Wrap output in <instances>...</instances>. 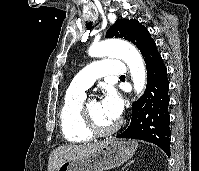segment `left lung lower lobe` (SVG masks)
Instances as JSON below:
<instances>
[{
    "instance_id": "left-lung-lower-lobe-1",
    "label": "left lung lower lobe",
    "mask_w": 199,
    "mask_h": 171,
    "mask_svg": "<svg viewBox=\"0 0 199 171\" xmlns=\"http://www.w3.org/2000/svg\"><path fill=\"white\" fill-rule=\"evenodd\" d=\"M141 53L147 68L146 90L143 96L133 103L130 125L117 137L151 142L170 156L167 69L154 40L148 43Z\"/></svg>"
}]
</instances>
